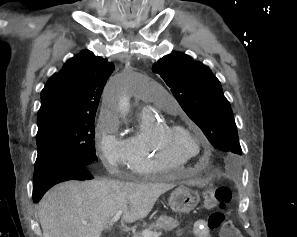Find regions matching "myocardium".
Returning a JSON list of instances; mask_svg holds the SVG:
<instances>
[{
	"instance_id": "myocardium-1",
	"label": "myocardium",
	"mask_w": 297,
	"mask_h": 237,
	"mask_svg": "<svg viewBox=\"0 0 297 237\" xmlns=\"http://www.w3.org/2000/svg\"><path fill=\"white\" fill-rule=\"evenodd\" d=\"M181 133L193 138L198 145V152L193 156H186L177 150L171 143V137L176 134ZM201 138L193 132L191 129L184 125L179 124H165L162 125L156 134L155 142L158 149L163 155L176 158L185 163L193 160L195 157L199 156L203 152V147L201 145Z\"/></svg>"
}]
</instances>
